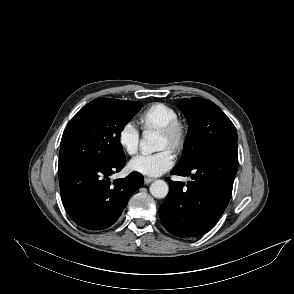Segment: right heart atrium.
Here are the masks:
<instances>
[{"instance_id":"obj_1","label":"right heart atrium","mask_w":294,"mask_h":294,"mask_svg":"<svg viewBox=\"0 0 294 294\" xmlns=\"http://www.w3.org/2000/svg\"><path fill=\"white\" fill-rule=\"evenodd\" d=\"M117 141L128 155H135L139 149L140 133L133 122H126L118 131Z\"/></svg>"}]
</instances>
